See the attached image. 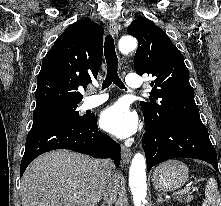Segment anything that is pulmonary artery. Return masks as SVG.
<instances>
[{
    "label": "pulmonary artery",
    "mask_w": 221,
    "mask_h": 206,
    "mask_svg": "<svg viewBox=\"0 0 221 206\" xmlns=\"http://www.w3.org/2000/svg\"><path fill=\"white\" fill-rule=\"evenodd\" d=\"M125 83L130 88H140L142 86V79L139 75L128 74L125 78ZM101 88V86H98ZM108 98L106 93L89 96L85 102L87 108H94L104 103Z\"/></svg>",
    "instance_id": "obj_1"
}]
</instances>
